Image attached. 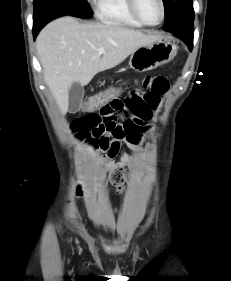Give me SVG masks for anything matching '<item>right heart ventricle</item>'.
<instances>
[{
    "label": "right heart ventricle",
    "instance_id": "e07e8e85",
    "mask_svg": "<svg viewBox=\"0 0 231 281\" xmlns=\"http://www.w3.org/2000/svg\"><path fill=\"white\" fill-rule=\"evenodd\" d=\"M96 15L100 21L109 25L142 28L131 13L128 0H97Z\"/></svg>",
    "mask_w": 231,
    "mask_h": 281
}]
</instances>
